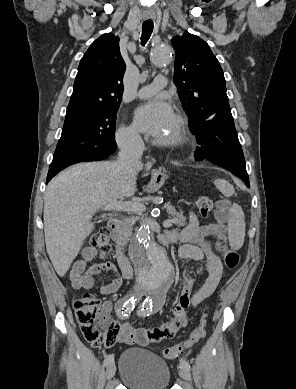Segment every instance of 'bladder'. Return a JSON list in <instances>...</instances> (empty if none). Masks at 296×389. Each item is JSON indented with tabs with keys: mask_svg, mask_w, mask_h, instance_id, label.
Returning a JSON list of instances; mask_svg holds the SVG:
<instances>
[{
	"mask_svg": "<svg viewBox=\"0 0 296 389\" xmlns=\"http://www.w3.org/2000/svg\"><path fill=\"white\" fill-rule=\"evenodd\" d=\"M119 375L129 389H167L170 384L167 363L140 348H130L121 354Z\"/></svg>",
	"mask_w": 296,
	"mask_h": 389,
	"instance_id": "31cf9c89",
	"label": "bladder"
}]
</instances>
